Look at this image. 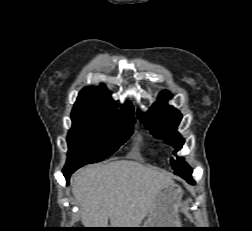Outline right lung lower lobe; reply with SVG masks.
<instances>
[{"label": "right lung lower lobe", "mask_w": 252, "mask_h": 231, "mask_svg": "<svg viewBox=\"0 0 252 231\" xmlns=\"http://www.w3.org/2000/svg\"><path fill=\"white\" fill-rule=\"evenodd\" d=\"M78 168H71V169H65L63 170V174L66 178L67 183L69 182L70 175L77 170Z\"/></svg>", "instance_id": "98d812e1"}]
</instances>
